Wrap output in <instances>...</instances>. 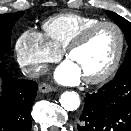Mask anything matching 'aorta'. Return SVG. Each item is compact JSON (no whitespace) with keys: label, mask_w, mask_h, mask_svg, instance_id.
Returning <instances> with one entry per match:
<instances>
[{"label":"aorta","mask_w":131,"mask_h":131,"mask_svg":"<svg viewBox=\"0 0 131 131\" xmlns=\"http://www.w3.org/2000/svg\"><path fill=\"white\" fill-rule=\"evenodd\" d=\"M59 102L65 110L74 111L80 106V97L74 91H66L61 94Z\"/></svg>","instance_id":"aorta-1"}]
</instances>
